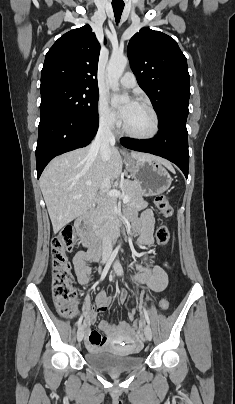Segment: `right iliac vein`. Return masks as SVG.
Instances as JSON below:
<instances>
[{
    "mask_svg": "<svg viewBox=\"0 0 235 404\" xmlns=\"http://www.w3.org/2000/svg\"><path fill=\"white\" fill-rule=\"evenodd\" d=\"M106 260H107V257H105V261ZM83 337H84V328H83V326H80L78 331H77V340H78V342H81Z\"/></svg>",
    "mask_w": 235,
    "mask_h": 404,
    "instance_id": "right-iliac-vein-1",
    "label": "right iliac vein"
}]
</instances>
